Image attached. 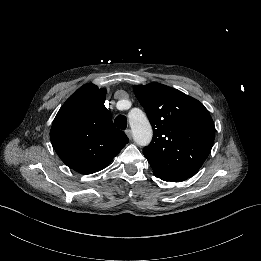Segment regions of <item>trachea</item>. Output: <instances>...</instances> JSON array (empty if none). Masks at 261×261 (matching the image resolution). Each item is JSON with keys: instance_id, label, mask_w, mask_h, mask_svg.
Here are the masks:
<instances>
[{"instance_id": "1", "label": "trachea", "mask_w": 261, "mask_h": 261, "mask_svg": "<svg viewBox=\"0 0 261 261\" xmlns=\"http://www.w3.org/2000/svg\"><path fill=\"white\" fill-rule=\"evenodd\" d=\"M114 124L117 128L125 130L127 127V119L124 115H118L114 120Z\"/></svg>"}]
</instances>
